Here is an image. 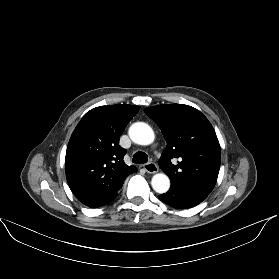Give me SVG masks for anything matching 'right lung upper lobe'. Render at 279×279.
<instances>
[{
  "label": "right lung upper lobe",
  "mask_w": 279,
  "mask_h": 279,
  "mask_svg": "<svg viewBox=\"0 0 279 279\" xmlns=\"http://www.w3.org/2000/svg\"><path fill=\"white\" fill-rule=\"evenodd\" d=\"M139 109L121 104L96 107L76 126L66 151V177L84 205L97 208L111 202L126 177L137 172L124 163L126 150L119 139Z\"/></svg>",
  "instance_id": "cb5924a9"
}]
</instances>
